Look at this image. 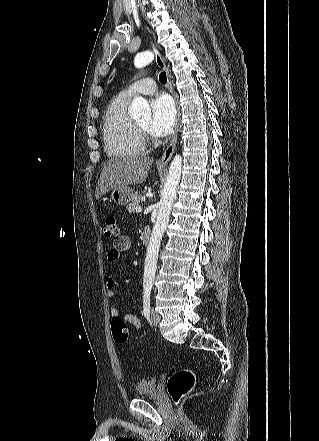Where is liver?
Returning <instances> with one entry per match:
<instances>
[{"label": "liver", "mask_w": 319, "mask_h": 441, "mask_svg": "<svg viewBox=\"0 0 319 441\" xmlns=\"http://www.w3.org/2000/svg\"><path fill=\"white\" fill-rule=\"evenodd\" d=\"M150 157H119L109 159L105 164L96 187L95 197L128 185L142 183L152 166Z\"/></svg>", "instance_id": "obj_1"}]
</instances>
